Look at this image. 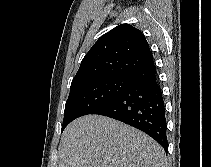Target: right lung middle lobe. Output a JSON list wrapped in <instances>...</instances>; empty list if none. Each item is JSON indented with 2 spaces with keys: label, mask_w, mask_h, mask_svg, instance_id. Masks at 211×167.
Returning <instances> with one entry per match:
<instances>
[{
  "label": "right lung middle lobe",
  "mask_w": 211,
  "mask_h": 167,
  "mask_svg": "<svg viewBox=\"0 0 211 167\" xmlns=\"http://www.w3.org/2000/svg\"><path fill=\"white\" fill-rule=\"evenodd\" d=\"M128 86L127 77L111 76L94 79L70 88L65 104L62 131L72 120L92 114L113 101Z\"/></svg>",
  "instance_id": "1"
}]
</instances>
